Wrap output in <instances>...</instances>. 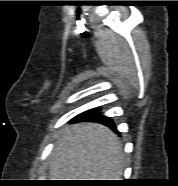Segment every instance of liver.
<instances>
[{
	"label": "liver",
	"mask_w": 178,
	"mask_h": 186,
	"mask_svg": "<svg viewBox=\"0 0 178 186\" xmlns=\"http://www.w3.org/2000/svg\"><path fill=\"white\" fill-rule=\"evenodd\" d=\"M122 144L108 127L74 124L63 129L49 164L51 180H120Z\"/></svg>",
	"instance_id": "1"
}]
</instances>
